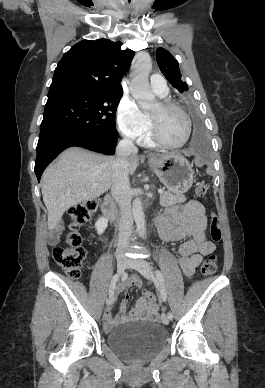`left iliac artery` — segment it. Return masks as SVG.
<instances>
[{
	"instance_id": "1",
	"label": "left iliac artery",
	"mask_w": 265,
	"mask_h": 388,
	"mask_svg": "<svg viewBox=\"0 0 265 388\" xmlns=\"http://www.w3.org/2000/svg\"><path fill=\"white\" fill-rule=\"evenodd\" d=\"M156 276H157V278H158V280H159V282H160V287H161V290H160V292H161V297H162L163 301H166L167 296H166V290H165V284H164L163 275H162V273H161L159 270H156ZM168 317H169L170 320L173 319V315H172V313H171L170 311L168 312Z\"/></svg>"
}]
</instances>
